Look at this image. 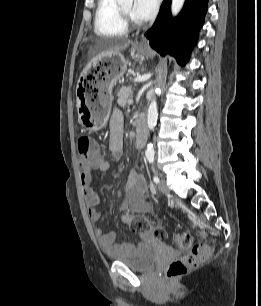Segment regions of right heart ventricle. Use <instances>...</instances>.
Wrapping results in <instances>:
<instances>
[{
	"label": "right heart ventricle",
	"mask_w": 261,
	"mask_h": 306,
	"mask_svg": "<svg viewBox=\"0 0 261 306\" xmlns=\"http://www.w3.org/2000/svg\"><path fill=\"white\" fill-rule=\"evenodd\" d=\"M95 33L105 37H124L128 33L117 0H98L94 21Z\"/></svg>",
	"instance_id": "1"
}]
</instances>
